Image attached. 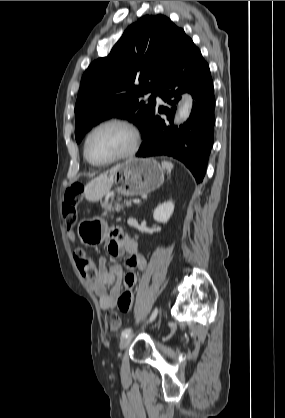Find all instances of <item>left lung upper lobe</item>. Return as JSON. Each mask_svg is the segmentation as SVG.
Instances as JSON below:
<instances>
[{"label":"left lung upper lobe","instance_id":"left-lung-upper-lobe-1","mask_svg":"<svg viewBox=\"0 0 285 418\" xmlns=\"http://www.w3.org/2000/svg\"><path fill=\"white\" fill-rule=\"evenodd\" d=\"M185 35L164 15H146L130 25L110 54L91 63L83 74L75 105L76 141L111 117L135 123L144 137L161 80ZM149 92L148 103L138 100Z\"/></svg>","mask_w":285,"mask_h":418}]
</instances>
